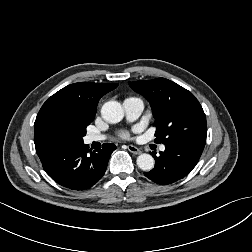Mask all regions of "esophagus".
Here are the masks:
<instances>
[{"instance_id": "esophagus-1", "label": "esophagus", "mask_w": 252, "mask_h": 252, "mask_svg": "<svg viewBox=\"0 0 252 252\" xmlns=\"http://www.w3.org/2000/svg\"><path fill=\"white\" fill-rule=\"evenodd\" d=\"M127 149H128L131 153L136 154V155H139V154L142 153V151H141L139 148H137L136 146H133V145H128V146H127Z\"/></svg>"}]
</instances>
